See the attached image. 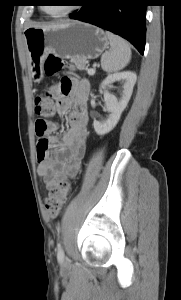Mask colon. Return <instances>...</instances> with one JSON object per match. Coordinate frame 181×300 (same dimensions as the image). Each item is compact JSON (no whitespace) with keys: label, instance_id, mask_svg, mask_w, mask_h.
I'll use <instances>...</instances> for the list:
<instances>
[{"label":"colon","instance_id":"obj_1","mask_svg":"<svg viewBox=\"0 0 181 300\" xmlns=\"http://www.w3.org/2000/svg\"><path fill=\"white\" fill-rule=\"evenodd\" d=\"M72 66L64 59L50 55L44 64V75L48 78L58 75L64 69H70ZM35 112L44 117L35 124V130L38 140L44 141L48 133L47 122L55 115V106L52 99L48 95L38 97L35 102ZM72 185L68 181H63L58 187L52 189L45 200V210L51 217H57L63 205L66 203Z\"/></svg>","mask_w":181,"mask_h":300}]
</instances>
